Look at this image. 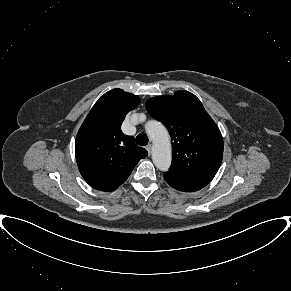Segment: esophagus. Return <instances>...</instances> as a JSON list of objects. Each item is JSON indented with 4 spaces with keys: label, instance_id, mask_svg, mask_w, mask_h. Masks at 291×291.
<instances>
[{
    "label": "esophagus",
    "instance_id": "34e87169",
    "mask_svg": "<svg viewBox=\"0 0 291 291\" xmlns=\"http://www.w3.org/2000/svg\"><path fill=\"white\" fill-rule=\"evenodd\" d=\"M146 150L148 151V153L150 154L151 153V150H152V145L151 144H148L146 146Z\"/></svg>",
    "mask_w": 291,
    "mask_h": 291
}]
</instances>
